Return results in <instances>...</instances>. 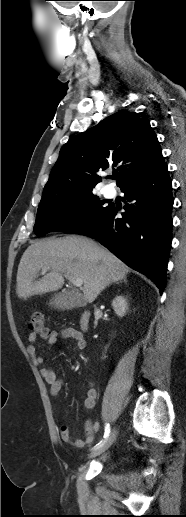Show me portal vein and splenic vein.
I'll return each instance as SVG.
<instances>
[{"label": "portal vein and splenic vein", "mask_w": 186, "mask_h": 517, "mask_svg": "<svg viewBox=\"0 0 186 517\" xmlns=\"http://www.w3.org/2000/svg\"><path fill=\"white\" fill-rule=\"evenodd\" d=\"M47 270H48V268H43L42 269L43 272H46ZM66 277L76 287H81L82 284H83V280L81 278H76V277H73V276H70V275H67Z\"/></svg>", "instance_id": "obj_1"}]
</instances>
